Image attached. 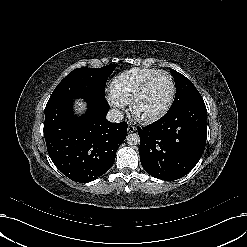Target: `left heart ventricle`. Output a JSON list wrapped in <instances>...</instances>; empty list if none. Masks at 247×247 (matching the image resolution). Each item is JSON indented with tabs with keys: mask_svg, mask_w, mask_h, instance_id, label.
<instances>
[{
	"mask_svg": "<svg viewBox=\"0 0 247 247\" xmlns=\"http://www.w3.org/2000/svg\"><path fill=\"white\" fill-rule=\"evenodd\" d=\"M171 91V83L167 76L156 77L146 88L136 104L140 114H149L159 110L167 101Z\"/></svg>",
	"mask_w": 247,
	"mask_h": 247,
	"instance_id": "b2bd125f",
	"label": "left heart ventricle"
}]
</instances>
